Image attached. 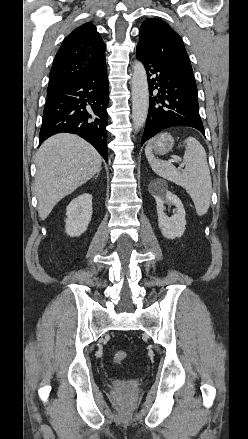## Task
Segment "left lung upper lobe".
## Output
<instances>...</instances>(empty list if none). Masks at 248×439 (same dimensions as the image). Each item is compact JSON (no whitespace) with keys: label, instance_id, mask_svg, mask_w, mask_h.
<instances>
[{"label":"left lung upper lobe","instance_id":"5c2ea615","mask_svg":"<svg viewBox=\"0 0 248 439\" xmlns=\"http://www.w3.org/2000/svg\"><path fill=\"white\" fill-rule=\"evenodd\" d=\"M137 47L152 57L193 74L181 37L164 21L155 18L143 22Z\"/></svg>","mask_w":248,"mask_h":439}]
</instances>
